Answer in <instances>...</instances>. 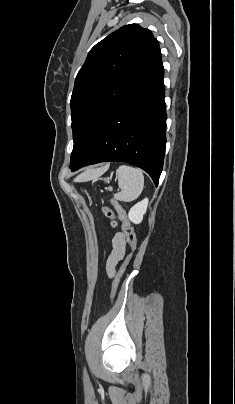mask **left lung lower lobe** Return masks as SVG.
Here are the masks:
<instances>
[{"mask_svg": "<svg viewBox=\"0 0 235 404\" xmlns=\"http://www.w3.org/2000/svg\"><path fill=\"white\" fill-rule=\"evenodd\" d=\"M164 68L161 63L111 114L70 168L123 161L145 170L157 186L166 146Z\"/></svg>", "mask_w": 235, "mask_h": 404, "instance_id": "1", "label": "left lung lower lobe"}]
</instances>
